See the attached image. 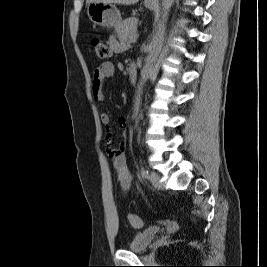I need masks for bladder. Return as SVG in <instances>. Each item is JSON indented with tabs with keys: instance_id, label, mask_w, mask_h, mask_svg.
<instances>
[{
	"instance_id": "1",
	"label": "bladder",
	"mask_w": 267,
	"mask_h": 267,
	"mask_svg": "<svg viewBox=\"0 0 267 267\" xmlns=\"http://www.w3.org/2000/svg\"><path fill=\"white\" fill-rule=\"evenodd\" d=\"M160 228L152 226L136 233L127 245L130 251L142 252L145 251L153 242Z\"/></svg>"
}]
</instances>
